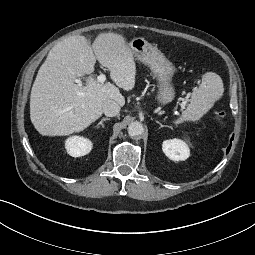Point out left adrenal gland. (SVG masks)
<instances>
[{"label":"left adrenal gland","mask_w":255,"mask_h":255,"mask_svg":"<svg viewBox=\"0 0 255 255\" xmlns=\"http://www.w3.org/2000/svg\"><path fill=\"white\" fill-rule=\"evenodd\" d=\"M156 123H158L159 125H160V127L159 128H163V127H168V128H170V126H168V125H163L161 122H159V121H156Z\"/></svg>","instance_id":"left-adrenal-gland-1"}]
</instances>
